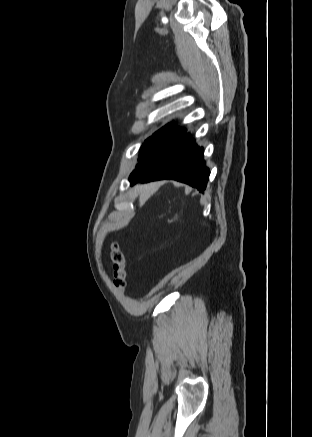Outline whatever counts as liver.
<instances>
[{
	"instance_id": "6515ba94",
	"label": "liver",
	"mask_w": 312,
	"mask_h": 437,
	"mask_svg": "<svg viewBox=\"0 0 312 437\" xmlns=\"http://www.w3.org/2000/svg\"><path fill=\"white\" fill-rule=\"evenodd\" d=\"M163 184V182H153L139 185L136 187L139 193V205L142 206Z\"/></svg>"
}]
</instances>
